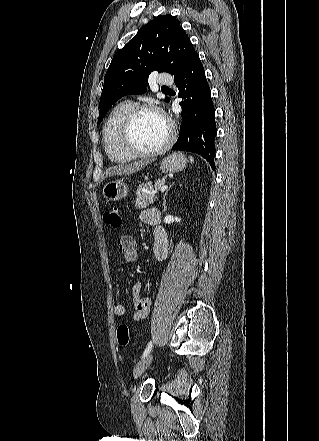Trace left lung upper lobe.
I'll list each match as a JSON object with an SVG mask.
<instances>
[{"mask_svg": "<svg viewBox=\"0 0 319 441\" xmlns=\"http://www.w3.org/2000/svg\"><path fill=\"white\" fill-rule=\"evenodd\" d=\"M196 54L176 18L172 15L155 17L114 55L104 77L98 124L118 99L144 93L152 71H165L175 77Z\"/></svg>", "mask_w": 319, "mask_h": 441, "instance_id": "1", "label": "left lung upper lobe"}]
</instances>
